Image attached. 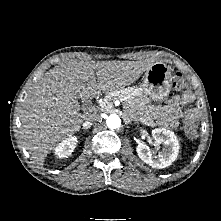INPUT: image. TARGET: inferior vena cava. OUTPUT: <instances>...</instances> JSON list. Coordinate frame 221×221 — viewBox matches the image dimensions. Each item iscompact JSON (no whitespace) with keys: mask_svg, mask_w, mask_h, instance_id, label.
I'll return each mask as SVG.
<instances>
[{"mask_svg":"<svg viewBox=\"0 0 221 221\" xmlns=\"http://www.w3.org/2000/svg\"><path fill=\"white\" fill-rule=\"evenodd\" d=\"M98 120H100V117L98 115L93 114L87 118V123L91 125L92 123H94Z\"/></svg>","mask_w":221,"mask_h":221,"instance_id":"1","label":"inferior vena cava"}]
</instances>
